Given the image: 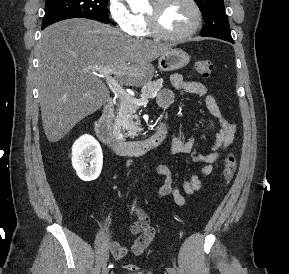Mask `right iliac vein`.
<instances>
[{
    "label": "right iliac vein",
    "mask_w": 289,
    "mask_h": 274,
    "mask_svg": "<svg viewBox=\"0 0 289 274\" xmlns=\"http://www.w3.org/2000/svg\"><path fill=\"white\" fill-rule=\"evenodd\" d=\"M109 270L107 267H103L102 274H108Z\"/></svg>",
    "instance_id": "obj_1"
}]
</instances>
